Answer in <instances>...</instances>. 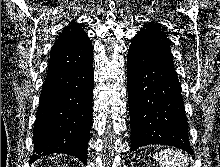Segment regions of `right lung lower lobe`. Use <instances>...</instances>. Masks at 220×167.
Instances as JSON below:
<instances>
[{
    "label": "right lung lower lobe",
    "instance_id": "98d812e1",
    "mask_svg": "<svg viewBox=\"0 0 220 167\" xmlns=\"http://www.w3.org/2000/svg\"><path fill=\"white\" fill-rule=\"evenodd\" d=\"M92 63L47 76L34 125V153L30 162L65 153L86 164L92 121Z\"/></svg>",
    "mask_w": 220,
    "mask_h": 167
}]
</instances>
